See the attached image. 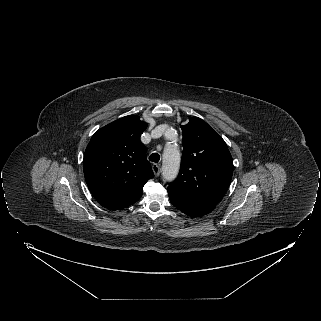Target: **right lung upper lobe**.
Instances as JSON below:
<instances>
[{
    "label": "right lung upper lobe",
    "mask_w": 321,
    "mask_h": 321,
    "mask_svg": "<svg viewBox=\"0 0 321 321\" xmlns=\"http://www.w3.org/2000/svg\"><path fill=\"white\" fill-rule=\"evenodd\" d=\"M147 124L129 115L102 127L85 150V180L94 198L107 209L135 203L145 183L154 177L140 136Z\"/></svg>",
    "instance_id": "1"
}]
</instances>
